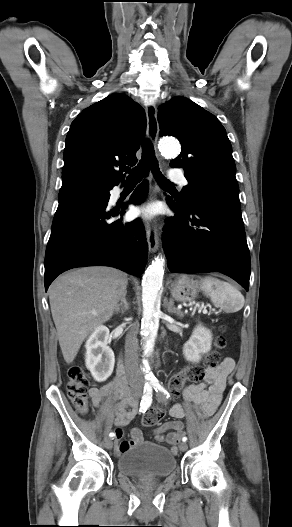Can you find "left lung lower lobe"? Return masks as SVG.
<instances>
[{"label":"left lung lower lobe","instance_id":"0a47b994","mask_svg":"<svg viewBox=\"0 0 292 527\" xmlns=\"http://www.w3.org/2000/svg\"><path fill=\"white\" fill-rule=\"evenodd\" d=\"M167 200L176 211L163 228L170 271L220 272L248 290L250 253L240 203L202 200L183 206Z\"/></svg>","mask_w":292,"mask_h":527}]
</instances>
